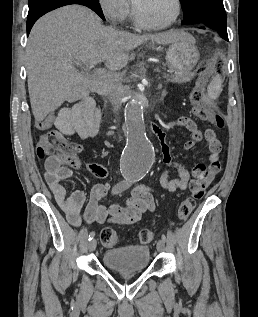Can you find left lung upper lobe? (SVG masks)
I'll return each mask as SVG.
<instances>
[{
	"mask_svg": "<svg viewBox=\"0 0 258 317\" xmlns=\"http://www.w3.org/2000/svg\"><path fill=\"white\" fill-rule=\"evenodd\" d=\"M180 2L184 12V24L194 25L201 20L210 19L226 26L223 0H180Z\"/></svg>",
	"mask_w": 258,
	"mask_h": 317,
	"instance_id": "5c2ea615",
	"label": "left lung upper lobe"
}]
</instances>
